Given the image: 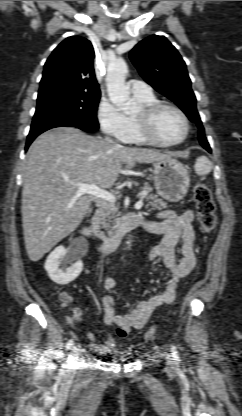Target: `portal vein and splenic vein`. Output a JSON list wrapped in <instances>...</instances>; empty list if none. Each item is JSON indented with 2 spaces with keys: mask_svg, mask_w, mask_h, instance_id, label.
<instances>
[{
  "mask_svg": "<svg viewBox=\"0 0 242 416\" xmlns=\"http://www.w3.org/2000/svg\"><path fill=\"white\" fill-rule=\"evenodd\" d=\"M75 187H77V194L82 195V194H88L91 195L93 197L96 198H100L102 200L108 201L110 203H115L116 202V197L104 190L99 188L98 186L94 185V184H83V183H72ZM142 195L145 194V192L141 193ZM143 206V202L140 200L135 204V208L136 209H140Z\"/></svg>",
  "mask_w": 242,
  "mask_h": 416,
  "instance_id": "1",
  "label": "portal vein and splenic vein"
}]
</instances>
